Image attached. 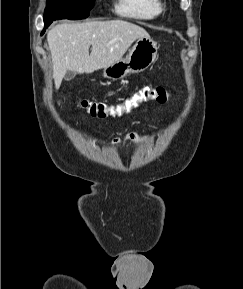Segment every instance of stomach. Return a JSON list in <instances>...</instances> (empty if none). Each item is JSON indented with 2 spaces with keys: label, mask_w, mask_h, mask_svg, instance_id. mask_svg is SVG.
<instances>
[{
  "label": "stomach",
  "mask_w": 243,
  "mask_h": 289,
  "mask_svg": "<svg viewBox=\"0 0 243 289\" xmlns=\"http://www.w3.org/2000/svg\"><path fill=\"white\" fill-rule=\"evenodd\" d=\"M157 56V43L150 36L140 37L126 58H121L104 68V77L117 80L129 73H140L154 63Z\"/></svg>",
  "instance_id": "0dacf381"
}]
</instances>
